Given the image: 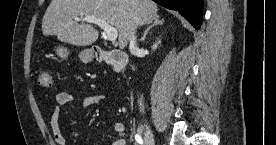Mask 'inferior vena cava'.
Returning a JSON list of instances; mask_svg holds the SVG:
<instances>
[{
    "instance_id": "1",
    "label": "inferior vena cava",
    "mask_w": 276,
    "mask_h": 145,
    "mask_svg": "<svg viewBox=\"0 0 276 145\" xmlns=\"http://www.w3.org/2000/svg\"><path fill=\"white\" fill-rule=\"evenodd\" d=\"M129 49H130V52L132 54H135L138 51V47H137V44H136V36H135L134 32L131 34ZM138 104H139L140 110L143 111L144 110V102H143V97L142 96L138 100Z\"/></svg>"
}]
</instances>
